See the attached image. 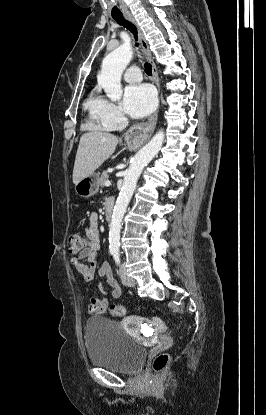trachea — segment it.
<instances>
[{"mask_svg": "<svg viewBox=\"0 0 266 415\" xmlns=\"http://www.w3.org/2000/svg\"><path fill=\"white\" fill-rule=\"evenodd\" d=\"M112 17L118 24L122 25L123 27H125L129 31H131L132 34L134 35L135 40L137 41V38H138L137 33L138 32H137V28L135 27L134 24H132L130 21L126 20L123 15H113ZM136 45H138V43ZM144 68H145L146 74L150 76L152 74L151 64L146 62L144 64Z\"/></svg>", "mask_w": 266, "mask_h": 415, "instance_id": "1", "label": "trachea"}]
</instances>
